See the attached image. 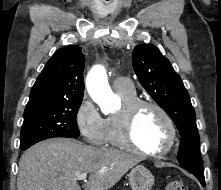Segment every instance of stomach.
Listing matches in <instances>:
<instances>
[{
	"mask_svg": "<svg viewBox=\"0 0 221 190\" xmlns=\"http://www.w3.org/2000/svg\"><path fill=\"white\" fill-rule=\"evenodd\" d=\"M128 176L132 190H151L154 185L153 174L142 165L133 167Z\"/></svg>",
	"mask_w": 221,
	"mask_h": 190,
	"instance_id": "obj_1",
	"label": "stomach"
}]
</instances>
